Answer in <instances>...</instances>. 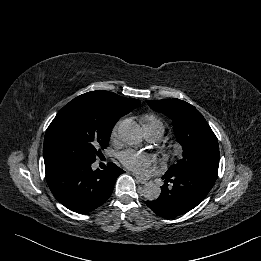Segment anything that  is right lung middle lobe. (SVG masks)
Listing matches in <instances>:
<instances>
[{"label": "right lung middle lobe", "instance_id": "dd1d6c3e", "mask_svg": "<svg viewBox=\"0 0 261 261\" xmlns=\"http://www.w3.org/2000/svg\"><path fill=\"white\" fill-rule=\"evenodd\" d=\"M118 119L105 116L86 100H72L49 125L44 139L45 166L95 161Z\"/></svg>", "mask_w": 261, "mask_h": 261}]
</instances>
